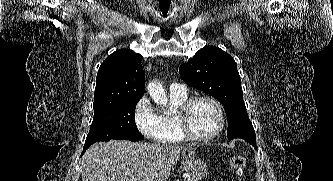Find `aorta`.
Here are the masks:
<instances>
[{
  "label": "aorta",
  "mask_w": 333,
  "mask_h": 181,
  "mask_svg": "<svg viewBox=\"0 0 333 181\" xmlns=\"http://www.w3.org/2000/svg\"><path fill=\"white\" fill-rule=\"evenodd\" d=\"M147 90L150 97L158 105H166L168 102L167 95L162 84L159 81H152L148 84Z\"/></svg>",
  "instance_id": "aorta-1"
}]
</instances>
